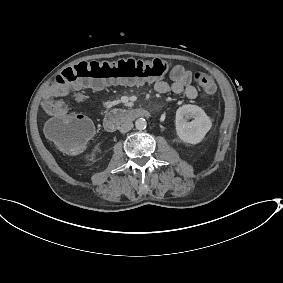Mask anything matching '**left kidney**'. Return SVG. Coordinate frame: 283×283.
I'll return each instance as SVG.
<instances>
[{"label":"left kidney","instance_id":"5707ae66","mask_svg":"<svg viewBox=\"0 0 283 283\" xmlns=\"http://www.w3.org/2000/svg\"><path fill=\"white\" fill-rule=\"evenodd\" d=\"M194 118L186 123L184 117ZM212 127L204 110L196 105H185L178 108L175 116V132L179 139L188 144L202 142Z\"/></svg>","mask_w":283,"mask_h":283}]
</instances>
